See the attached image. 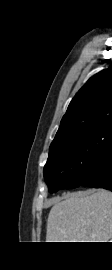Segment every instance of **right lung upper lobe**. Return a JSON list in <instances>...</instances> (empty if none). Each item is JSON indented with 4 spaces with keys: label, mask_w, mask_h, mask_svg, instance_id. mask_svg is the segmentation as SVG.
<instances>
[{
    "label": "right lung upper lobe",
    "mask_w": 112,
    "mask_h": 270,
    "mask_svg": "<svg viewBox=\"0 0 112 270\" xmlns=\"http://www.w3.org/2000/svg\"><path fill=\"white\" fill-rule=\"evenodd\" d=\"M112 122V65L77 92L61 120L50 148L98 125Z\"/></svg>",
    "instance_id": "1"
}]
</instances>
